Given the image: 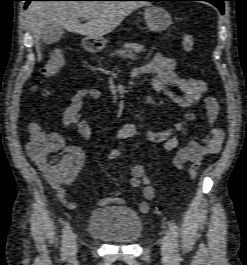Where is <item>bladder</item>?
<instances>
[{"label": "bladder", "instance_id": "31cf9c89", "mask_svg": "<svg viewBox=\"0 0 247 265\" xmlns=\"http://www.w3.org/2000/svg\"><path fill=\"white\" fill-rule=\"evenodd\" d=\"M87 232L111 243L133 244L141 238L143 225L134 210L120 205H109L91 212Z\"/></svg>", "mask_w": 247, "mask_h": 265}]
</instances>
